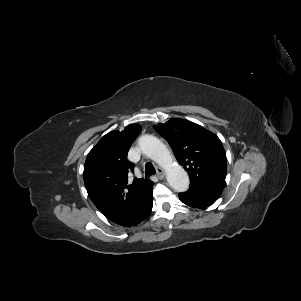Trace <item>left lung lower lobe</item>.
<instances>
[{"label": "left lung lower lobe", "mask_w": 301, "mask_h": 301, "mask_svg": "<svg viewBox=\"0 0 301 301\" xmlns=\"http://www.w3.org/2000/svg\"><path fill=\"white\" fill-rule=\"evenodd\" d=\"M219 195L220 192L191 185L187 192L179 193V198L188 206L206 208L212 205Z\"/></svg>", "instance_id": "1"}]
</instances>
